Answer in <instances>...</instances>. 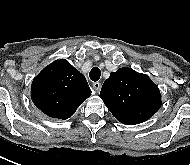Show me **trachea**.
<instances>
[{
  "instance_id": "3493384b",
  "label": "trachea",
  "mask_w": 190,
  "mask_h": 165,
  "mask_svg": "<svg viewBox=\"0 0 190 165\" xmlns=\"http://www.w3.org/2000/svg\"><path fill=\"white\" fill-rule=\"evenodd\" d=\"M101 76V71L98 67H93L89 73V77L92 81H98Z\"/></svg>"
}]
</instances>
